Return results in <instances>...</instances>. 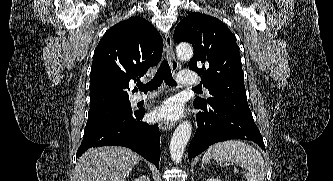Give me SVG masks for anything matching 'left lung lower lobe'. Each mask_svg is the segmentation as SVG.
Segmentation results:
<instances>
[{
	"label": "left lung lower lobe",
	"mask_w": 333,
	"mask_h": 181,
	"mask_svg": "<svg viewBox=\"0 0 333 181\" xmlns=\"http://www.w3.org/2000/svg\"><path fill=\"white\" fill-rule=\"evenodd\" d=\"M194 107L201 109L202 112L197 114L198 128L189 145L190 161L210 145L230 139L251 140L265 150L261 133L250 115L226 110L216 105L194 104Z\"/></svg>",
	"instance_id": "0a47b994"
}]
</instances>
